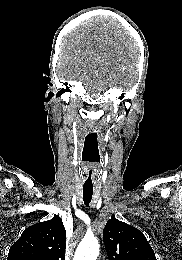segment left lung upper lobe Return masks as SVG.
<instances>
[{
	"label": "left lung upper lobe",
	"instance_id": "obj_1",
	"mask_svg": "<svg viewBox=\"0 0 182 260\" xmlns=\"http://www.w3.org/2000/svg\"><path fill=\"white\" fill-rule=\"evenodd\" d=\"M103 241L109 260H156L144 234L115 217L107 221Z\"/></svg>",
	"mask_w": 182,
	"mask_h": 260
}]
</instances>
